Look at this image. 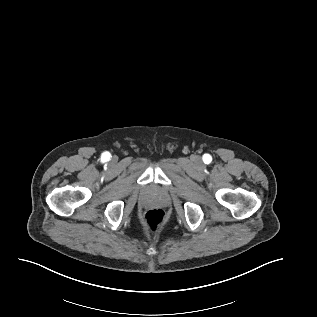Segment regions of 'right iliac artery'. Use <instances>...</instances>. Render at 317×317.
Wrapping results in <instances>:
<instances>
[{
	"label": "right iliac artery",
	"instance_id": "1",
	"mask_svg": "<svg viewBox=\"0 0 317 317\" xmlns=\"http://www.w3.org/2000/svg\"><path fill=\"white\" fill-rule=\"evenodd\" d=\"M109 157H110V156L108 155V153H103V158H104V159H109Z\"/></svg>",
	"mask_w": 317,
	"mask_h": 317
}]
</instances>
